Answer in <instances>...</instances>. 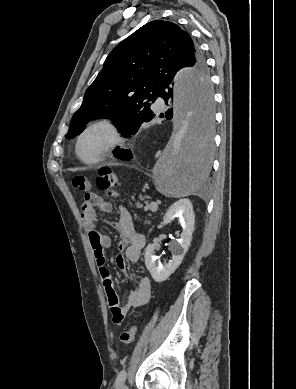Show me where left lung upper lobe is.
Listing matches in <instances>:
<instances>
[{"instance_id":"1","label":"left lung upper lobe","mask_w":296,"mask_h":389,"mask_svg":"<svg viewBox=\"0 0 296 389\" xmlns=\"http://www.w3.org/2000/svg\"><path fill=\"white\" fill-rule=\"evenodd\" d=\"M184 67H191L192 81L196 78L200 88L211 86L205 60L187 32L168 21L145 24L108 55L73 115L66 137L80 134L96 118L116 120L125 137L136 134L143 122L155 116L149 101L155 102L162 84L174 81Z\"/></svg>"}]
</instances>
